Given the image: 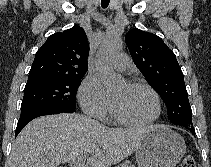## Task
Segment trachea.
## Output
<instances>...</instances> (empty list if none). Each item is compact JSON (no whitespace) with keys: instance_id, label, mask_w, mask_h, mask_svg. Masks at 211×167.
<instances>
[{"instance_id":"3493384b","label":"trachea","mask_w":211,"mask_h":167,"mask_svg":"<svg viewBox=\"0 0 211 167\" xmlns=\"http://www.w3.org/2000/svg\"><path fill=\"white\" fill-rule=\"evenodd\" d=\"M110 0H101L102 8H106L109 5Z\"/></svg>"}]
</instances>
